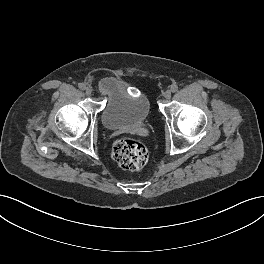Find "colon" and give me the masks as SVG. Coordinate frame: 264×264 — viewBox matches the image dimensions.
Returning a JSON list of instances; mask_svg holds the SVG:
<instances>
[{"label": "colon", "instance_id": "1", "mask_svg": "<svg viewBox=\"0 0 264 264\" xmlns=\"http://www.w3.org/2000/svg\"><path fill=\"white\" fill-rule=\"evenodd\" d=\"M112 155L117 164L127 171H138L148 161L146 146L135 139L121 138L113 146Z\"/></svg>", "mask_w": 264, "mask_h": 264}]
</instances>
